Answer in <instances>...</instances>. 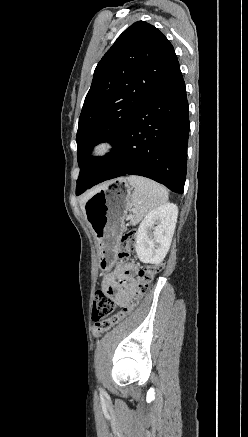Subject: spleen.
<instances>
[{
    "label": "spleen",
    "instance_id": "1",
    "mask_svg": "<svg viewBox=\"0 0 248 437\" xmlns=\"http://www.w3.org/2000/svg\"><path fill=\"white\" fill-rule=\"evenodd\" d=\"M129 184L134 188L130 206L134 207L130 215L132 225L138 224L145 215L168 201V192L164 186L141 176H129Z\"/></svg>",
    "mask_w": 248,
    "mask_h": 437
}]
</instances>
